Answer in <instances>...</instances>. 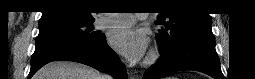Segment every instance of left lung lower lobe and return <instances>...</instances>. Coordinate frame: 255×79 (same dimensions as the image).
I'll return each mask as SVG.
<instances>
[{
	"instance_id": "1",
	"label": "left lung lower lobe",
	"mask_w": 255,
	"mask_h": 79,
	"mask_svg": "<svg viewBox=\"0 0 255 79\" xmlns=\"http://www.w3.org/2000/svg\"><path fill=\"white\" fill-rule=\"evenodd\" d=\"M180 70H195L215 79H224L215 50V39L201 37L188 39L162 54L159 61L143 76V79H160Z\"/></svg>"
}]
</instances>
